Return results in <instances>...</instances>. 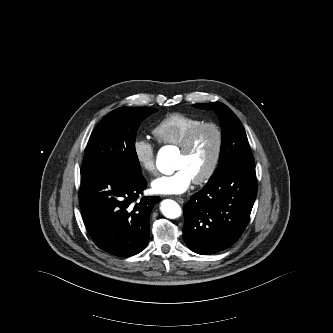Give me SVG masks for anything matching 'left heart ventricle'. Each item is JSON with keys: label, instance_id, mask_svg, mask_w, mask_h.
Here are the masks:
<instances>
[{"label": "left heart ventricle", "instance_id": "b2bd125f", "mask_svg": "<svg viewBox=\"0 0 333 333\" xmlns=\"http://www.w3.org/2000/svg\"><path fill=\"white\" fill-rule=\"evenodd\" d=\"M215 146V132L210 128L202 130L189 153L183 154L179 152L175 168L185 169L193 180L198 178L209 167L214 155Z\"/></svg>", "mask_w": 333, "mask_h": 333}]
</instances>
